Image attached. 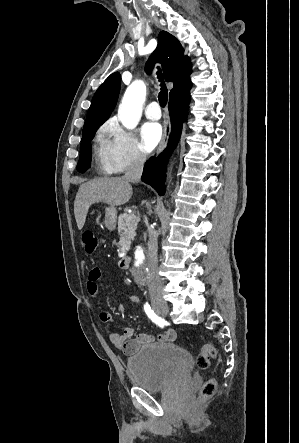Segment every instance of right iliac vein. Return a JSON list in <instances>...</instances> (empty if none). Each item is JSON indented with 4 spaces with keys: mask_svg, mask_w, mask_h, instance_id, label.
<instances>
[{
    "mask_svg": "<svg viewBox=\"0 0 299 443\" xmlns=\"http://www.w3.org/2000/svg\"><path fill=\"white\" fill-rule=\"evenodd\" d=\"M154 309L161 315L166 316L169 313V306L164 302H156Z\"/></svg>",
    "mask_w": 299,
    "mask_h": 443,
    "instance_id": "obj_1",
    "label": "right iliac vein"
}]
</instances>
